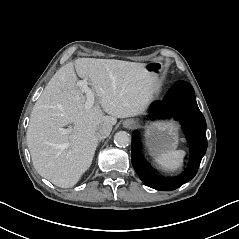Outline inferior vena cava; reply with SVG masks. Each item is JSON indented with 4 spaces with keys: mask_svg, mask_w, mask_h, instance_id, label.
Instances as JSON below:
<instances>
[{
    "mask_svg": "<svg viewBox=\"0 0 239 239\" xmlns=\"http://www.w3.org/2000/svg\"><path fill=\"white\" fill-rule=\"evenodd\" d=\"M112 130V125L110 123H104L102 124L97 130H96V137L101 140L105 139L109 136Z\"/></svg>",
    "mask_w": 239,
    "mask_h": 239,
    "instance_id": "obj_1",
    "label": "inferior vena cava"
}]
</instances>
